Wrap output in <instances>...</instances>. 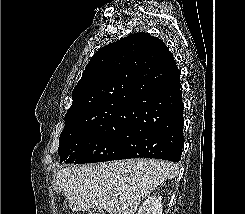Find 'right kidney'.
<instances>
[{"label": "right kidney", "instance_id": "ca27d5eb", "mask_svg": "<svg viewBox=\"0 0 245 214\" xmlns=\"http://www.w3.org/2000/svg\"><path fill=\"white\" fill-rule=\"evenodd\" d=\"M162 197L153 195L146 199L137 214H162Z\"/></svg>", "mask_w": 245, "mask_h": 214}]
</instances>
